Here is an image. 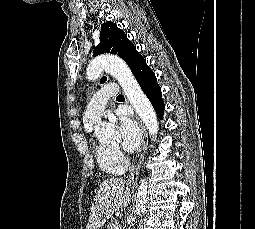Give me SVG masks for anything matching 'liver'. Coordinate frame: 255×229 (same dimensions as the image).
I'll return each instance as SVG.
<instances>
[{
  "instance_id": "1",
  "label": "liver",
  "mask_w": 255,
  "mask_h": 229,
  "mask_svg": "<svg viewBox=\"0 0 255 229\" xmlns=\"http://www.w3.org/2000/svg\"><path fill=\"white\" fill-rule=\"evenodd\" d=\"M124 189L125 181L121 178H110L100 184L86 229H99L116 210L130 203V188L127 187L125 191Z\"/></svg>"
}]
</instances>
